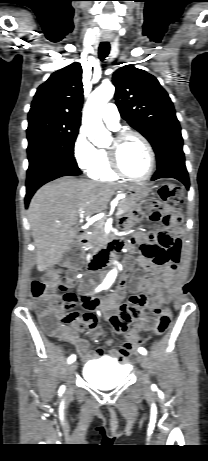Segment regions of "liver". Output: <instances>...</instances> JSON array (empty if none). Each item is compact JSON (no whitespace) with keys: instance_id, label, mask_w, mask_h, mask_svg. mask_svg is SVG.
Returning <instances> with one entry per match:
<instances>
[{"instance_id":"6515ba94","label":"liver","mask_w":208,"mask_h":461,"mask_svg":"<svg viewBox=\"0 0 208 461\" xmlns=\"http://www.w3.org/2000/svg\"><path fill=\"white\" fill-rule=\"evenodd\" d=\"M118 184L62 177L42 186L28 210L37 270L43 272L58 264L78 231V217L106 209Z\"/></svg>"}]
</instances>
